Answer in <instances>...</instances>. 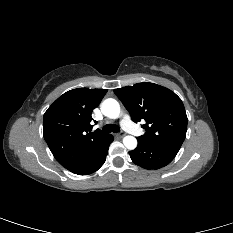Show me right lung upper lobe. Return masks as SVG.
I'll return each instance as SVG.
<instances>
[{
	"label": "right lung upper lobe",
	"instance_id": "1",
	"mask_svg": "<svg viewBox=\"0 0 233 233\" xmlns=\"http://www.w3.org/2000/svg\"><path fill=\"white\" fill-rule=\"evenodd\" d=\"M106 89L77 88L60 96L45 112L43 134L56 160L69 171L81 165L108 137L91 131V113Z\"/></svg>",
	"mask_w": 233,
	"mask_h": 233
}]
</instances>
